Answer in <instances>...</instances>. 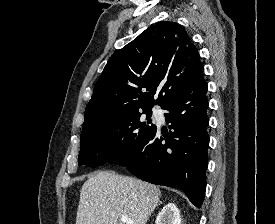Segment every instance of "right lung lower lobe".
Returning <instances> with one entry per match:
<instances>
[{"label": "right lung lower lobe", "mask_w": 275, "mask_h": 224, "mask_svg": "<svg viewBox=\"0 0 275 224\" xmlns=\"http://www.w3.org/2000/svg\"><path fill=\"white\" fill-rule=\"evenodd\" d=\"M207 83L201 73L162 109L171 131L157 127L142 141L111 163L125 166L140 179L181 189L200 207L205 197L209 136L206 113Z\"/></svg>", "instance_id": "1"}]
</instances>
